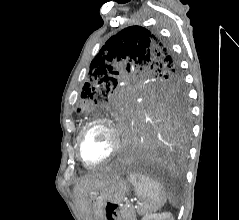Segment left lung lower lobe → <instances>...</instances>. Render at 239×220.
I'll use <instances>...</instances> for the list:
<instances>
[{
    "mask_svg": "<svg viewBox=\"0 0 239 220\" xmlns=\"http://www.w3.org/2000/svg\"><path fill=\"white\" fill-rule=\"evenodd\" d=\"M187 116L183 111L132 110L117 118L126 134L123 158L136 165L182 164L187 153Z\"/></svg>",
    "mask_w": 239,
    "mask_h": 220,
    "instance_id": "1",
    "label": "left lung lower lobe"
}]
</instances>
